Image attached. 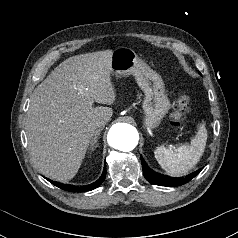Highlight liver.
I'll return each instance as SVG.
<instances>
[{
    "label": "liver",
    "instance_id": "1",
    "mask_svg": "<svg viewBox=\"0 0 238 238\" xmlns=\"http://www.w3.org/2000/svg\"><path fill=\"white\" fill-rule=\"evenodd\" d=\"M113 51L72 56L34 90L26 135L32 161L43 175L60 182L78 172L97 122L109 121L116 98L111 81Z\"/></svg>",
    "mask_w": 238,
    "mask_h": 238
}]
</instances>
